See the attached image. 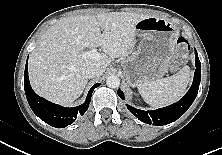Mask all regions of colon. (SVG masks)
Masks as SVG:
<instances>
[{"label":"colon","instance_id":"5ec220e1","mask_svg":"<svg viewBox=\"0 0 222 155\" xmlns=\"http://www.w3.org/2000/svg\"><path fill=\"white\" fill-rule=\"evenodd\" d=\"M188 50V41L182 36L178 37L175 44V55L177 63H181L185 59Z\"/></svg>","mask_w":222,"mask_h":155}]
</instances>
